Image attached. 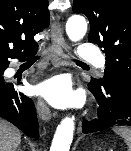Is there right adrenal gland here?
Here are the masks:
<instances>
[{
    "label": "right adrenal gland",
    "mask_w": 131,
    "mask_h": 151,
    "mask_svg": "<svg viewBox=\"0 0 131 151\" xmlns=\"http://www.w3.org/2000/svg\"><path fill=\"white\" fill-rule=\"evenodd\" d=\"M18 151H22V149L19 147V148H18Z\"/></svg>",
    "instance_id": "1"
}]
</instances>
